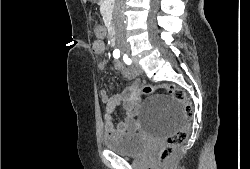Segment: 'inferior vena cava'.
<instances>
[{"mask_svg": "<svg viewBox=\"0 0 250 169\" xmlns=\"http://www.w3.org/2000/svg\"><path fill=\"white\" fill-rule=\"evenodd\" d=\"M124 4L125 0H115V6L113 10V24L117 32H119V30H124L125 28V16L123 10Z\"/></svg>", "mask_w": 250, "mask_h": 169, "instance_id": "inferior-vena-cava-1", "label": "inferior vena cava"}]
</instances>
